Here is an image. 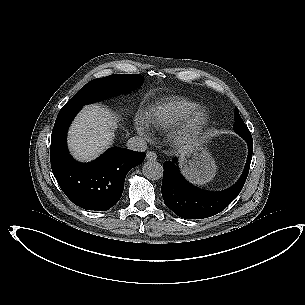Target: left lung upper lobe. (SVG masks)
Wrapping results in <instances>:
<instances>
[{"mask_svg": "<svg viewBox=\"0 0 305 305\" xmlns=\"http://www.w3.org/2000/svg\"><path fill=\"white\" fill-rule=\"evenodd\" d=\"M235 122H236L234 125L235 132L252 140V136L248 127L245 125V123L243 122L242 118L239 116L238 113L236 114ZM250 149L251 147H249V154H251ZM245 174H247L246 171ZM240 189H241V180L232 188H229L226 191L218 192L217 194L205 200L208 201L209 204L212 206L226 204L229 203L230 199L233 198V195L238 193Z\"/></svg>", "mask_w": 305, "mask_h": 305, "instance_id": "left-lung-upper-lobe-1", "label": "left lung upper lobe"}]
</instances>
